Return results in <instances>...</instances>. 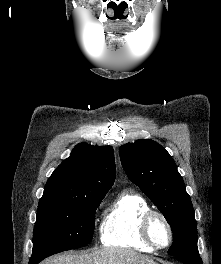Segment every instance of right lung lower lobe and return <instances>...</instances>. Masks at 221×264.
Returning a JSON list of instances; mask_svg holds the SVG:
<instances>
[{
	"mask_svg": "<svg viewBox=\"0 0 221 264\" xmlns=\"http://www.w3.org/2000/svg\"><path fill=\"white\" fill-rule=\"evenodd\" d=\"M41 260H42L41 258L30 259L29 264H37V263H39Z\"/></svg>",
	"mask_w": 221,
	"mask_h": 264,
	"instance_id": "right-lung-lower-lobe-1",
	"label": "right lung lower lobe"
}]
</instances>
